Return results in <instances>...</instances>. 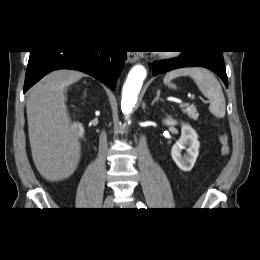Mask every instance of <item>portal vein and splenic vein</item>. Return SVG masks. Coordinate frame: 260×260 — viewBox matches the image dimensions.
<instances>
[{
    "instance_id": "18ae733b",
    "label": "portal vein and splenic vein",
    "mask_w": 260,
    "mask_h": 260,
    "mask_svg": "<svg viewBox=\"0 0 260 260\" xmlns=\"http://www.w3.org/2000/svg\"><path fill=\"white\" fill-rule=\"evenodd\" d=\"M187 104L186 103H180V106L182 107V106H186Z\"/></svg>"
}]
</instances>
